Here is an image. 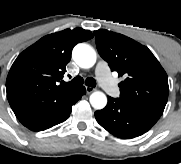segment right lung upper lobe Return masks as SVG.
I'll list each match as a JSON object with an SVG mask.
<instances>
[{
    "label": "right lung upper lobe",
    "mask_w": 181,
    "mask_h": 164,
    "mask_svg": "<svg viewBox=\"0 0 181 164\" xmlns=\"http://www.w3.org/2000/svg\"><path fill=\"white\" fill-rule=\"evenodd\" d=\"M93 37L82 28L49 34L24 50L13 63L6 80L9 104L14 112L48 108L77 87L58 85L71 59L73 47Z\"/></svg>",
    "instance_id": "1"
}]
</instances>
